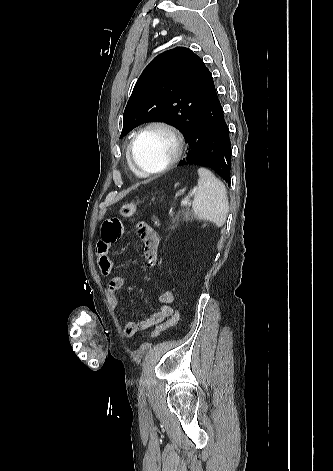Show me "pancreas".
I'll return each mask as SVG.
<instances>
[{
  "label": "pancreas",
  "instance_id": "pancreas-1",
  "mask_svg": "<svg viewBox=\"0 0 333 471\" xmlns=\"http://www.w3.org/2000/svg\"><path fill=\"white\" fill-rule=\"evenodd\" d=\"M193 219V213L189 210V208H185L171 217L172 226L170 228L174 229L180 221L191 222Z\"/></svg>",
  "mask_w": 333,
  "mask_h": 471
}]
</instances>
